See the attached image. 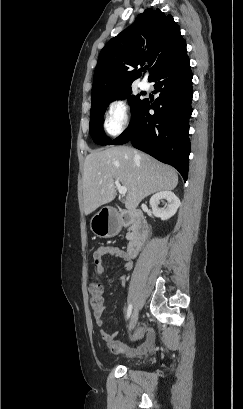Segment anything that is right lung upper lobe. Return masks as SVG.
Returning <instances> with one entry per match:
<instances>
[{"label":"right lung upper lobe","mask_w":243,"mask_h":409,"mask_svg":"<svg viewBox=\"0 0 243 409\" xmlns=\"http://www.w3.org/2000/svg\"><path fill=\"white\" fill-rule=\"evenodd\" d=\"M185 45L171 15L146 9L101 50L93 77L92 102L131 87L141 77L139 66L148 64L150 81Z\"/></svg>","instance_id":"obj_1"}]
</instances>
